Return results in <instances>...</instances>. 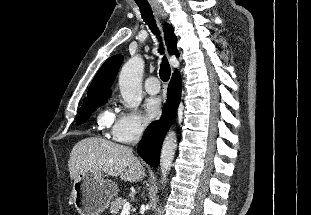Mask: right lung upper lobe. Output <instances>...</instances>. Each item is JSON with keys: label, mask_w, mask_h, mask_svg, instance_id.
Masks as SVG:
<instances>
[{"label": "right lung upper lobe", "mask_w": 311, "mask_h": 215, "mask_svg": "<svg viewBox=\"0 0 311 215\" xmlns=\"http://www.w3.org/2000/svg\"><path fill=\"white\" fill-rule=\"evenodd\" d=\"M165 42L168 48V52L170 54H175L177 57L179 56L176 44L177 37L174 34L173 28L169 24H165L163 26ZM123 61V57L120 55H115L107 59L101 68L96 73L87 93V97L84 101L111 95L110 86L112 85L117 72L121 66Z\"/></svg>", "instance_id": "cb5924a9"}]
</instances>
